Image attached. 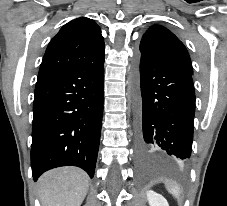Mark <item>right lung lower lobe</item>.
<instances>
[{
	"instance_id": "obj_1",
	"label": "right lung lower lobe",
	"mask_w": 227,
	"mask_h": 206,
	"mask_svg": "<svg viewBox=\"0 0 227 206\" xmlns=\"http://www.w3.org/2000/svg\"><path fill=\"white\" fill-rule=\"evenodd\" d=\"M104 59L38 79L33 102L32 175L78 166L94 176L103 115Z\"/></svg>"
}]
</instances>
